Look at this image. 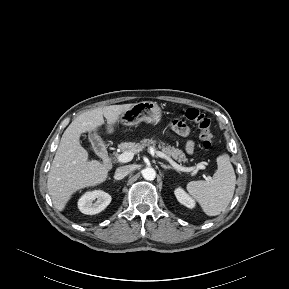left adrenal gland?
I'll use <instances>...</instances> for the list:
<instances>
[{
	"label": "left adrenal gland",
	"instance_id": "obj_1",
	"mask_svg": "<svg viewBox=\"0 0 289 289\" xmlns=\"http://www.w3.org/2000/svg\"><path fill=\"white\" fill-rule=\"evenodd\" d=\"M161 164V167L164 168V169H173V170H176L174 167L172 166H169V165H165L163 163H160ZM178 172V170H176Z\"/></svg>",
	"mask_w": 289,
	"mask_h": 289
}]
</instances>
